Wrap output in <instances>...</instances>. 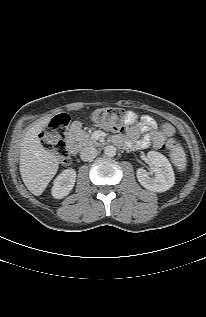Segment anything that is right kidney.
Segmentation results:
<instances>
[{"label": "right kidney", "instance_id": "ca27d5eb", "mask_svg": "<svg viewBox=\"0 0 206 317\" xmlns=\"http://www.w3.org/2000/svg\"><path fill=\"white\" fill-rule=\"evenodd\" d=\"M76 181V171L74 169L63 170L54 180L52 195L56 199H62L73 189Z\"/></svg>", "mask_w": 206, "mask_h": 317}]
</instances>
